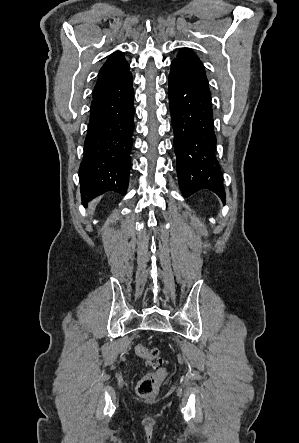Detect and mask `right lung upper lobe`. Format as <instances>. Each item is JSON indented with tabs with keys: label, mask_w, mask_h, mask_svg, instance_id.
<instances>
[{
	"label": "right lung upper lobe",
	"mask_w": 299,
	"mask_h": 443,
	"mask_svg": "<svg viewBox=\"0 0 299 443\" xmlns=\"http://www.w3.org/2000/svg\"><path fill=\"white\" fill-rule=\"evenodd\" d=\"M128 73H130L129 64L124 58L123 53L120 51L114 52L99 72L93 96L109 88Z\"/></svg>",
	"instance_id": "obj_1"
}]
</instances>
